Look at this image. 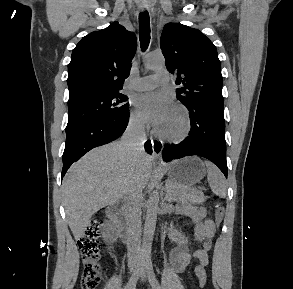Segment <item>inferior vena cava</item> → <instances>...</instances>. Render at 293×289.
Instances as JSON below:
<instances>
[{"label":"inferior vena cava","instance_id":"obj_1","mask_svg":"<svg viewBox=\"0 0 293 289\" xmlns=\"http://www.w3.org/2000/svg\"><path fill=\"white\" fill-rule=\"evenodd\" d=\"M122 141L131 152L142 153L144 151V142L146 141L144 123L141 121L129 123ZM141 198L142 189L136 184H130L125 192L124 208L129 225L128 259L134 263L138 262L141 250Z\"/></svg>","mask_w":293,"mask_h":289}]
</instances>
